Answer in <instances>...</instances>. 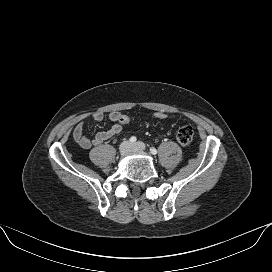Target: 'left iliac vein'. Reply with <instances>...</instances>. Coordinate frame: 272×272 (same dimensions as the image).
Wrapping results in <instances>:
<instances>
[{
  "mask_svg": "<svg viewBox=\"0 0 272 272\" xmlns=\"http://www.w3.org/2000/svg\"><path fill=\"white\" fill-rule=\"evenodd\" d=\"M145 144L142 142H137L135 144L132 145V149L133 151H139V152H143L145 150Z\"/></svg>",
  "mask_w": 272,
  "mask_h": 272,
  "instance_id": "1",
  "label": "left iliac vein"
}]
</instances>
